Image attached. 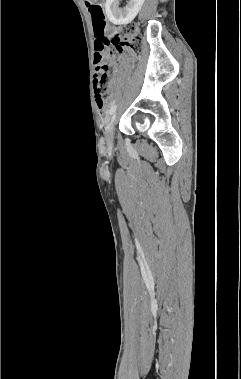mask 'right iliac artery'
<instances>
[{
    "label": "right iliac artery",
    "mask_w": 241,
    "mask_h": 379,
    "mask_svg": "<svg viewBox=\"0 0 241 379\" xmlns=\"http://www.w3.org/2000/svg\"><path fill=\"white\" fill-rule=\"evenodd\" d=\"M115 109H116V105L111 107V109L109 111L110 115L114 113Z\"/></svg>",
    "instance_id": "1"
}]
</instances>
